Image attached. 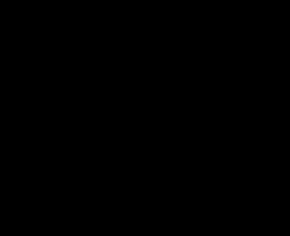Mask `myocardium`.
I'll return each mask as SVG.
<instances>
[{
    "label": "myocardium",
    "mask_w": 290,
    "mask_h": 236,
    "mask_svg": "<svg viewBox=\"0 0 290 236\" xmlns=\"http://www.w3.org/2000/svg\"><path fill=\"white\" fill-rule=\"evenodd\" d=\"M188 63V62H181L178 65H176L171 71H167V73L165 74L164 78L157 84V86L155 87L153 94H152V99L155 101L157 99V97L166 90V88L168 87V85L170 84L172 77L175 73V71L177 70V68H179L181 65ZM194 65L195 68V73H196V78H197V86H196V91L195 94L192 98V100L190 101V103L182 110L180 111L178 114L174 115L173 118L174 119H179L182 118L184 116H186L194 107L200 91H201V84H202V77H201V72L198 69V67Z\"/></svg>",
    "instance_id": "obj_1"
}]
</instances>
